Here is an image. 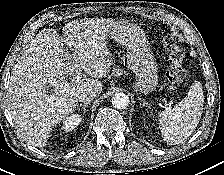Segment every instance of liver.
Returning <instances> with one entry per match:
<instances>
[{
  "label": "liver",
  "instance_id": "6515ba94",
  "mask_svg": "<svg viewBox=\"0 0 224 175\" xmlns=\"http://www.w3.org/2000/svg\"><path fill=\"white\" fill-rule=\"evenodd\" d=\"M115 23L86 18L66 24L62 36L52 28L36 35L14 65L8 88L9 111L23 140L42 147L50 131L77 107L81 92L101 93V81L93 78L105 77L113 65L105 37ZM80 69L93 78L75 81ZM71 76L70 83L65 81ZM46 85L53 93L43 92Z\"/></svg>",
  "mask_w": 224,
  "mask_h": 175
}]
</instances>
